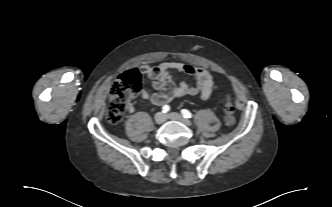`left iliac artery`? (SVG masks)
I'll list each match as a JSON object with an SVG mask.
<instances>
[{
  "mask_svg": "<svg viewBox=\"0 0 332 207\" xmlns=\"http://www.w3.org/2000/svg\"><path fill=\"white\" fill-rule=\"evenodd\" d=\"M181 114L183 115L184 118H191L192 117L191 112L188 111L187 109H182Z\"/></svg>",
  "mask_w": 332,
  "mask_h": 207,
  "instance_id": "obj_1",
  "label": "left iliac artery"
}]
</instances>
